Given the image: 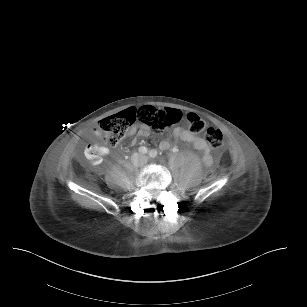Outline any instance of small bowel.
<instances>
[{"label": "small bowel", "mask_w": 307, "mask_h": 307, "mask_svg": "<svg viewBox=\"0 0 307 307\" xmlns=\"http://www.w3.org/2000/svg\"><path fill=\"white\" fill-rule=\"evenodd\" d=\"M92 132L97 137L100 136V132L98 129H93ZM135 132H136L135 129L130 130V134H134ZM172 133L177 140L188 142L192 144L196 149L201 151L204 163L206 165L211 164L212 162L211 151L208 144L202 137L181 127L175 128ZM148 134L149 131L146 127H142L137 131V137H146L148 136ZM169 147L170 144L166 140L160 143V149L162 150H167ZM108 153H109L108 147L98 144L87 145L84 149L85 158L94 165L100 164L103 160V157L106 156Z\"/></svg>", "instance_id": "1"}]
</instances>
